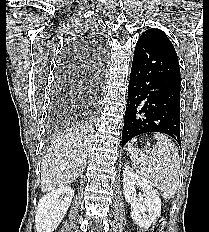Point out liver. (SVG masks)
Returning a JSON list of instances; mask_svg holds the SVG:
<instances>
[{"label":"liver","instance_id":"obj_1","mask_svg":"<svg viewBox=\"0 0 209 232\" xmlns=\"http://www.w3.org/2000/svg\"><path fill=\"white\" fill-rule=\"evenodd\" d=\"M91 145L87 127H75L53 141L41 162V191L49 192L68 185L86 167Z\"/></svg>","mask_w":209,"mask_h":232}]
</instances>
